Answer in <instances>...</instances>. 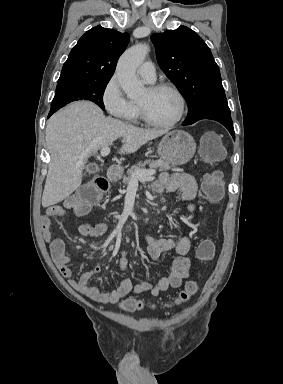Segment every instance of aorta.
<instances>
[{"label": "aorta", "mask_w": 283, "mask_h": 384, "mask_svg": "<svg viewBox=\"0 0 283 384\" xmlns=\"http://www.w3.org/2000/svg\"><path fill=\"white\" fill-rule=\"evenodd\" d=\"M149 52L146 44H137L126 50L118 61L116 68L119 83L130 99L139 98L145 91L144 85L138 80L136 70Z\"/></svg>", "instance_id": "1"}]
</instances>
